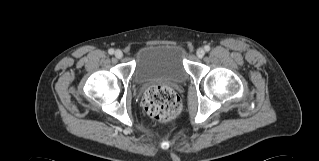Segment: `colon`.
<instances>
[{"instance_id": "1", "label": "colon", "mask_w": 319, "mask_h": 161, "mask_svg": "<svg viewBox=\"0 0 319 161\" xmlns=\"http://www.w3.org/2000/svg\"><path fill=\"white\" fill-rule=\"evenodd\" d=\"M142 105L151 118L162 122L173 120L181 111L178 95L162 85L150 87L142 98Z\"/></svg>"}]
</instances>
